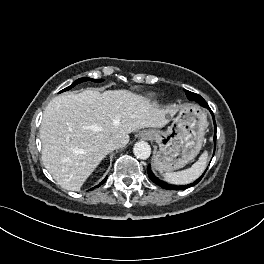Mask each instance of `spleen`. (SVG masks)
Wrapping results in <instances>:
<instances>
[{"label":"spleen","mask_w":264,"mask_h":264,"mask_svg":"<svg viewBox=\"0 0 264 264\" xmlns=\"http://www.w3.org/2000/svg\"><path fill=\"white\" fill-rule=\"evenodd\" d=\"M208 152L204 151L199 157L198 161H196L190 168L178 171L165 173L164 179L171 184H188L196 180L205 170L207 165Z\"/></svg>","instance_id":"3e777b00"}]
</instances>
